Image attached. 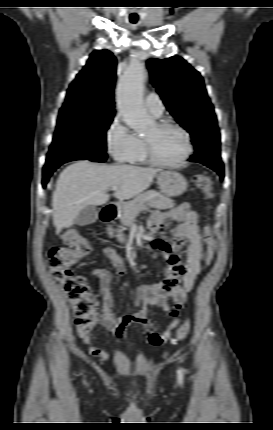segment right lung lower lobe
<instances>
[{
  "label": "right lung lower lobe",
  "instance_id": "1",
  "mask_svg": "<svg viewBox=\"0 0 273 430\" xmlns=\"http://www.w3.org/2000/svg\"><path fill=\"white\" fill-rule=\"evenodd\" d=\"M107 159V154H102V155H100V156H97V157H94V158H91V159H89V160H91V161H94V162H104L105 160ZM60 165H58L57 167H52V168H50V169H45V170H43V181H42V184H43V186L45 187L46 186V183L48 182V180H49V177L52 175V173L59 167Z\"/></svg>",
  "mask_w": 273,
  "mask_h": 430
}]
</instances>
